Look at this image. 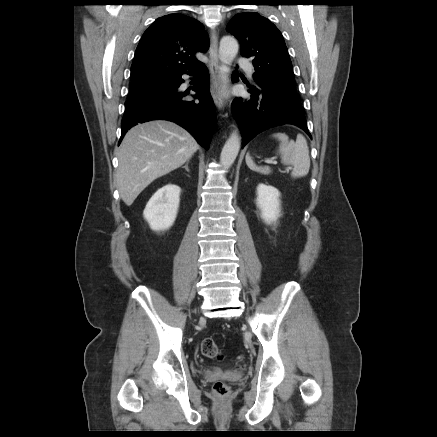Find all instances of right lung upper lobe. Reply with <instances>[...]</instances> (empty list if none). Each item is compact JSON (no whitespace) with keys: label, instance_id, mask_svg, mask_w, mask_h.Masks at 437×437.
Wrapping results in <instances>:
<instances>
[{"label":"right lung upper lobe","instance_id":"obj_1","mask_svg":"<svg viewBox=\"0 0 437 437\" xmlns=\"http://www.w3.org/2000/svg\"><path fill=\"white\" fill-rule=\"evenodd\" d=\"M209 38L204 26L191 17L169 14L156 19L144 32L131 66V80L172 79L201 62Z\"/></svg>","mask_w":437,"mask_h":437}]
</instances>
